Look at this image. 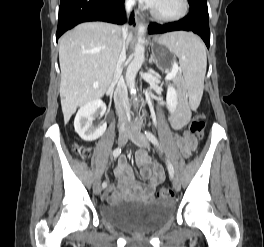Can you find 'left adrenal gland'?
<instances>
[{"mask_svg":"<svg viewBox=\"0 0 264 247\" xmlns=\"http://www.w3.org/2000/svg\"><path fill=\"white\" fill-rule=\"evenodd\" d=\"M156 60H155V55H154V52H152L151 56H150V59H149V63H155Z\"/></svg>","mask_w":264,"mask_h":247,"instance_id":"left-adrenal-gland-1","label":"left adrenal gland"}]
</instances>
